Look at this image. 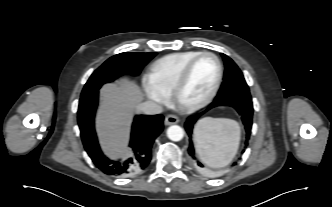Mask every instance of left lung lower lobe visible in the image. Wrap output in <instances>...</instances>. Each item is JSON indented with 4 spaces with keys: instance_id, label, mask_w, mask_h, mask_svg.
<instances>
[{
    "instance_id": "0a47b994",
    "label": "left lung lower lobe",
    "mask_w": 332,
    "mask_h": 207,
    "mask_svg": "<svg viewBox=\"0 0 332 207\" xmlns=\"http://www.w3.org/2000/svg\"><path fill=\"white\" fill-rule=\"evenodd\" d=\"M231 106L234 107L237 112L242 116V121L245 126L246 130V141H245V146L248 145V140L250 138L251 134V128H252V116H253V105H252V99L251 98H243V97H227V98H222V99H215L211 106L207 109H211L216 106ZM204 113V112H203ZM196 114L194 116H191L187 119L185 123V129L186 132L189 136V146H188V154L190 156L191 162L196 166V167H203V165L197 161L195 157V148L192 140V133H193V127L197 119L203 114ZM244 150L242 151V153ZM236 162L233 164L235 165Z\"/></svg>"
}]
</instances>
